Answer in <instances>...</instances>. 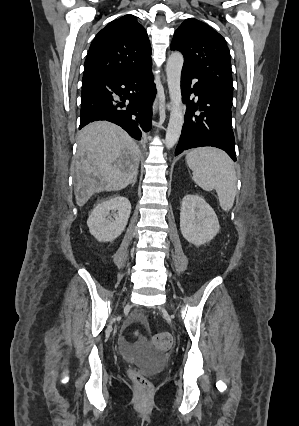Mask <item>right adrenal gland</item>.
Returning <instances> with one entry per match:
<instances>
[{
  "label": "right adrenal gland",
  "instance_id": "1",
  "mask_svg": "<svg viewBox=\"0 0 299 426\" xmlns=\"http://www.w3.org/2000/svg\"><path fill=\"white\" fill-rule=\"evenodd\" d=\"M137 181V176L134 177V179L132 180V184L134 185Z\"/></svg>",
  "mask_w": 299,
  "mask_h": 426
}]
</instances>
